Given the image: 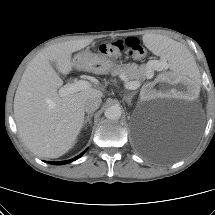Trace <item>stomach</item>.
<instances>
[{
	"label": "stomach",
	"instance_id": "stomach-1",
	"mask_svg": "<svg viewBox=\"0 0 215 215\" xmlns=\"http://www.w3.org/2000/svg\"><path fill=\"white\" fill-rule=\"evenodd\" d=\"M74 61L77 68L96 74L112 73L113 70L119 67L106 55L92 53L90 50H85L76 54Z\"/></svg>",
	"mask_w": 215,
	"mask_h": 215
}]
</instances>
